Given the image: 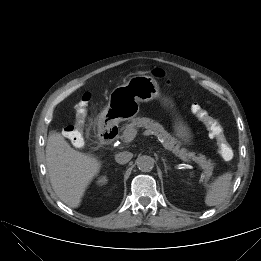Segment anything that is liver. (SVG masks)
I'll list each match as a JSON object with an SVG mask.
<instances>
[{"label":"liver","instance_id":"obj_1","mask_svg":"<svg viewBox=\"0 0 261 261\" xmlns=\"http://www.w3.org/2000/svg\"><path fill=\"white\" fill-rule=\"evenodd\" d=\"M46 165L53 190L72 208L80 206L88 185L101 168L97 158L73 149L58 133L48 137Z\"/></svg>","mask_w":261,"mask_h":261}]
</instances>
